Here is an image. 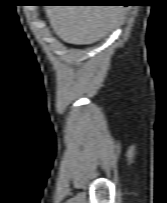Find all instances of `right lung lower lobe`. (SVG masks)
<instances>
[{
	"label": "right lung lower lobe",
	"mask_w": 167,
	"mask_h": 203,
	"mask_svg": "<svg viewBox=\"0 0 167 203\" xmlns=\"http://www.w3.org/2000/svg\"><path fill=\"white\" fill-rule=\"evenodd\" d=\"M92 1H98V2L92 3V4H102V5H119V4H121L120 2H118V0H92Z\"/></svg>",
	"instance_id": "obj_1"
}]
</instances>
